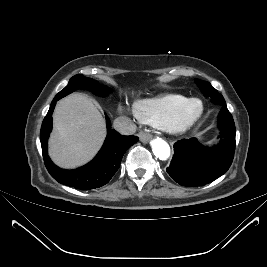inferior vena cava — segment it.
Masks as SVG:
<instances>
[{"label": "inferior vena cava", "instance_id": "602c4592", "mask_svg": "<svg viewBox=\"0 0 267 267\" xmlns=\"http://www.w3.org/2000/svg\"><path fill=\"white\" fill-rule=\"evenodd\" d=\"M113 127L122 135H132L136 132V125L128 117H118L113 122Z\"/></svg>", "mask_w": 267, "mask_h": 267}]
</instances>
